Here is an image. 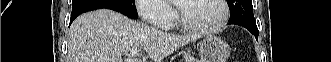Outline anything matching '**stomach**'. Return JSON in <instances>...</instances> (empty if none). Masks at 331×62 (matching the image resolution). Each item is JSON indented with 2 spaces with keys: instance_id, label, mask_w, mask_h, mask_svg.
Instances as JSON below:
<instances>
[{
  "instance_id": "obj_1",
  "label": "stomach",
  "mask_w": 331,
  "mask_h": 62,
  "mask_svg": "<svg viewBox=\"0 0 331 62\" xmlns=\"http://www.w3.org/2000/svg\"><path fill=\"white\" fill-rule=\"evenodd\" d=\"M230 47L218 36L208 35L199 43L201 62H226Z\"/></svg>"
}]
</instances>
